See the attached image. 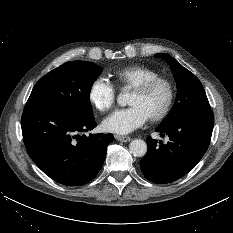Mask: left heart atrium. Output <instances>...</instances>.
Masks as SVG:
<instances>
[{"instance_id":"39dd6f15","label":"left heart atrium","mask_w":233,"mask_h":233,"mask_svg":"<svg viewBox=\"0 0 233 233\" xmlns=\"http://www.w3.org/2000/svg\"><path fill=\"white\" fill-rule=\"evenodd\" d=\"M147 119L148 116L140 107L129 106L108 116L103 122V127L112 133L127 134L141 127Z\"/></svg>"}]
</instances>
